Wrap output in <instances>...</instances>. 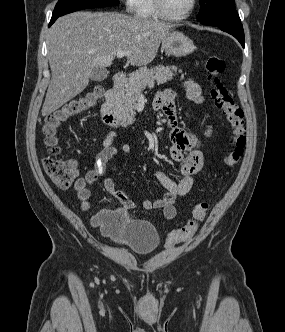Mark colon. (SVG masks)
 Listing matches in <instances>:
<instances>
[{
	"label": "colon",
	"instance_id": "colon-1",
	"mask_svg": "<svg viewBox=\"0 0 285 332\" xmlns=\"http://www.w3.org/2000/svg\"><path fill=\"white\" fill-rule=\"evenodd\" d=\"M225 61L219 56L211 55L204 63L210 86V96L214 106L220 111L224 120L231 128V148L225 156V164L229 168L236 167L245 150L246 137L242 109L235 103L228 89L220 79L225 71ZM103 94V88L96 86L92 90L64 104L54 113L48 115L43 125L44 141L50 155L43 159V168L52 182L61 189L71 187L78 178L79 169L72 159L60 157L58 131L72 118L93 108ZM208 212L206 202L197 203L192 207V218L181 228L171 230L166 235V246L172 248L179 243L191 239L205 219Z\"/></svg>",
	"mask_w": 285,
	"mask_h": 332
}]
</instances>
